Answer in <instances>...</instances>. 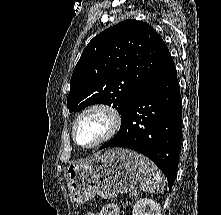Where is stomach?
<instances>
[{
	"mask_svg": "<svg viewBox=\"0 0 221 215\" xmlns=\"http://www.w3.org/2000/svg\"><path fill=\"white\" fill-rule=\"evenodd\" d=\"M141 177V158L125 148H112L90 160L71 164L66 169V182L71 199L79 204L95 195L112 199L132 191Z\"/></svg>",
	"mask_w": 221,
	"mask_h": 215,
	"instance_id": "0dacf381",
	"label": "stomach"
}]
</instances>
